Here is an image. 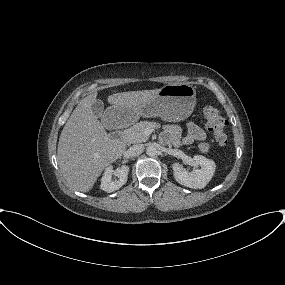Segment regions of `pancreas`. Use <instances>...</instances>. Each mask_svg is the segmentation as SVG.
<instances>
[{
    "instance_id": "pancreas-1",
    "label": "pancreas",
    "mask_w": 285,
    "mask_h": 285,
    "mask_svg": "<svg viewBox=\"0 0 285 285\" xmlns=\"http://www.w3.org/2000/svg\"><path fill=\"white\" fill-rule=\"evenodd\" d=\"M159 127L160 124L154 121H140L124 131V139L129 144L146 142L149 138L146 130Z\"/></svg>"
}]
</instances>
